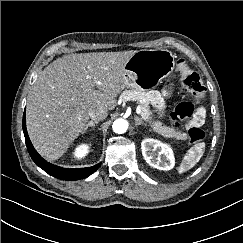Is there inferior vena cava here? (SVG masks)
<instances>
[{
	"mask_svg": "<svg viewBox=\"0 0 243 243\" xmlns=\"http://www.w3.org/2000/svg\"><path fill=\"white\" fill-rule=\"evenodd\" d=\"M108 110L102 106L96 107L89 111V116L94 121H100L107 117Z\"/></svg>",
	"mask_w": 243,
	"mask_h": 243,
	"instance_id": "602c4592",
	"label": "inferior vena cava"
}]
</instances>
